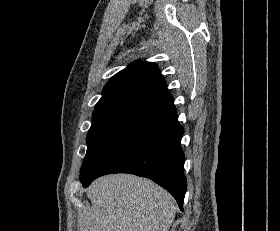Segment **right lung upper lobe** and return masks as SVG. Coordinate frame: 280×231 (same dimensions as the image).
<instances>
[{
	"label": "right lung upper lobe",
	"mask_w": 280,
	"mask_h": 231,
	"mask_svg": "<svg viewBox=\"0 0 280 231\" xmlns=\"http://www.w3.org/2000/svg\"><path fill=\"white\" fill-rule=\"evenodd\" d=\"M102 94L93 119H122L139 124L175 109L157 65L146 61H136L118 72Z\"/></svg>",
	"instance_id": "right-lung-upper-lobe-1"
}]
</instances>
